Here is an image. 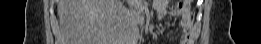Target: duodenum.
<instances>
[{"instance_id": "1", "label": "duodenum", "mask_w": 261, "mask_h": 44, "mask_svg": "<svg viewBox=\"0 0 261 44\" xmlns=\"http://www.w3.org/2000/svg\"><path fill=\"white\" fill-rule=\"evenodd\" d=\"M137 23L140 26H144V24H145V17H144V14L142 12L139 13L138 16H137Z\"/></svg>"}]
</instances>
